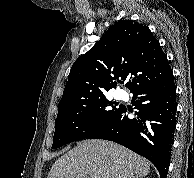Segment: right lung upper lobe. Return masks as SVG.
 Instances as JSON below:
<instances>
[{
  "label": "right lung upper lobe",
  "mask_w": 194,
  "mask_h": 178,
  "mask_svg": "<svg viewBox=\"0 0 194 178\" xmlns=\"http://www.w3.org/2000/svg\"><path fill=\"white\" fill-rule=\"evenodd\" d=\"M171 71L159 41L147 26L119 21L72 65L59 110L77 107L104 96L126 80L131 91L162 79Z\"/></svg>",
  "instance_id": "obj_1"
}]
</instances>
